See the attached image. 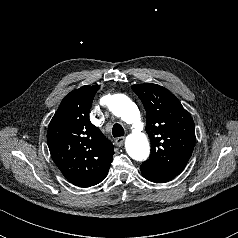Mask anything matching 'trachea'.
<instances>
[{"label": "trachea", "instance_id": "1", "mask_svg": "<svg viewBox=\"0 0 238 238\" xmlns=\"http://www.w3.org/2000/svg\"><path fill=\"white\" fill-rule=\"evenodd\" d=\"M112 134H113L114 137H121V136H123L124 135L123 127L120 124H118V123L114 124V126L112 128Z\"/></svg>", "mask_w": 238, "mask_h": 238}]
</instances>
